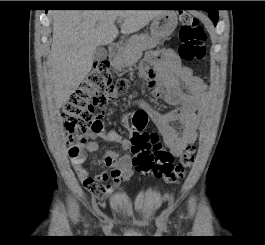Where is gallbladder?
Masks as SVG:
<instances>
[{
    "label": "gallbladder",
    "instance_id": "1",
    "mask_svg": "<svg viewBox=\"0 0 265 245\" xmlns=\"http://www.w3.org/2000/svg\"><path fill=\"white\" fill-rule=\"evenodd\" d=\"M107 57V50L104 47H97L94 54V61H103Z\"/></svg>",
    "mask_w": 265,
    "mask_h": 245
}]
</instances>
